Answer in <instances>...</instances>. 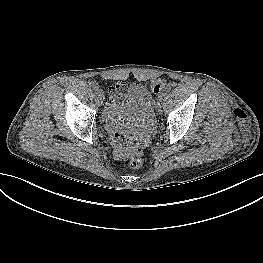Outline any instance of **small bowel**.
<instances>
[{"label": "small bowel", "instance_id": "1", "mask_svg": "<svg viewBox=\"0 0 263 263\" xmlns=\"http://www.w3.org/2000/svg\"><path fill=\"white\" fill-rule=\"evenodd\" d=\"M127 77V75L126 74H122L120 77H119V79H125ZM134 90L137 92V93H139V94H142V95H144V93H145V89L142 87V86H139V85H137V86H135L134 87ZM144 118L146 119L147 117H148V115H149V112L148 111H145L144 112ZM125 137L127 138L128 137V134L126 135L125 134ZM136 152H140V149H136Z\"/></svg>", "mask_w": 263, "mask_h": 263}]
</instances>
